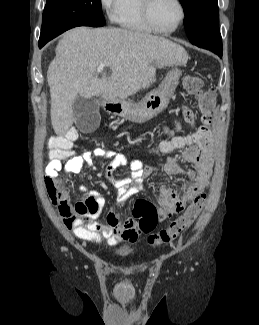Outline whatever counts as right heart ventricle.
Listing matches in <instances>:
<instances>
[{
  "label": "right heart ventricle",
  "instance_id": "e07e8e85",
  "mask_svg": "<svg viewBox=\"0 0 259 325\" xmlns=\"http://www.w3.org/2000/svg\"><path fill=\"white\" fill-rule=\"evenodd\" d=\"M113 20L127 30L142 33L153 32L143 17L142 0H119Z\"/></svg>",
  "mask_w": 259,
  "mask_h": 325
}]
</instances>
